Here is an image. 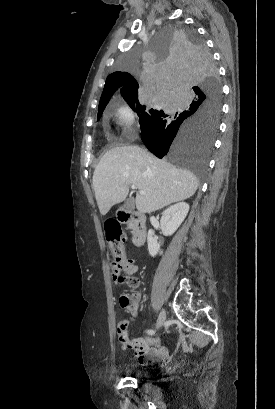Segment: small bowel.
Wrapping results in <instances>:
<instances>
[{
	"mask_svg": "<svg viewBox=\"0 0 275 409\" xmlns=\"http://www.w3.org/2000/svg\"><path fill=\"white\" fill-rule=\"evenodd\" d=\"M126 271L131 272L133 275L138 273L136 266L132 263L128 264L126 267ZM120 269L113 268L111 274V283L125 286L126 283L130 282L129 278L120 279ZM137 317V316H134ZM117 330L119 331V349L121 351H134L137 352V355L134 353L132 356L135 358L137 356L139 362L141 364H148L153 361H165L168 356V351L165 347H163L159 340L155 337H149L147 339H136L135 337H131L128 334V326L125 322H118L117 323Z\"/></svg>",
	"mask_w": 275,
	"mask_h": 409,
	"instance_id": "c3829d8e",
	"label": "small bowel"
}]
</instances>
